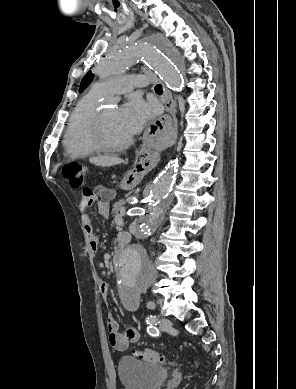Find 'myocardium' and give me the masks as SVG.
I'll return each mask as SVG.
<instances>
[{"instance_id": "f54148a6", "label": "myocardium", "mask_w": 296, "mask_h": 389, "mask_svg": "<svg viewBox=\"0 0 296 389\" xmlns=\"http://www.w3.org/2000/svg\"><path fill=\"white\" fill-rule=\"evenodd\" d=\"M93 142L99 152L114 153L127 148L132 143V139L129 138L119 144L108 143L104 134L103 113H98L93 127Z\"/></svg>"}]
</instances>
